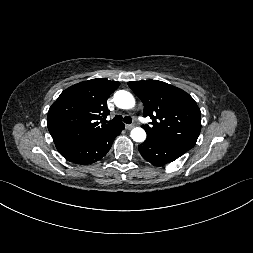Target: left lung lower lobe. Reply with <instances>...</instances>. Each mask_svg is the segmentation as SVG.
Here are the masks:
<instances>
[{
	"label": "left lung lower lobe",
	"mask_w": 253,
	"mask_h": 253,
	"mask_svg": "<svg viewBox=\"0 0 253 253\" xmlns=\"http://www.w3.org/2000/svg\"><path fill=\"white\" fill-rule=\"evenodd\" d=\"M142 157L155 166H163L176 160L189 149L147 137L145 142L138 146Z\"/></svg>",
	"instance_id": "0a47b994"
}]
</instances>
